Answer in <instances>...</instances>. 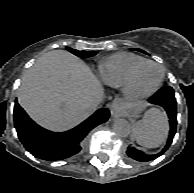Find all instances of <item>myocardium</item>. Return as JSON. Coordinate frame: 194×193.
I'll use <instances>...</instances> for the list:
<instances>
[{"label":"myocardium","instance_id":"obj_1","mask_svg":"<svg viewBox=\"0 0 194 193\" xmlns=\"http://www.w3.org/2000/svg\"><path fill=\"white\" fill-rule=\"evenodd\" d=\"M146 64H150V65L158 67L160 69V78L157 84L152 89L148 91H140L136 89L137 74L139 70ZM164 77H165V70H164V67L160 63L153 61V60L145 59L141 61L140 63H138L137 65H135L134 68L131 70L129 77L123 86V92L125 96L129 99L138 100V99L148 98L152 96L153 94H155L160 89L164 81Z\"/></svg>","mask_w":194,"mask_h":193}]
</instances>
